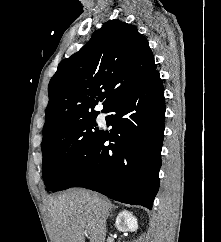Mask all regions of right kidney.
<instances>
[{
    "instance_id": "ca27d5eb",
    "label": "right kidney",
    "mask_w": 221,
    "mask_h": 242,
    "mask_svg": "<svg viewBox=\"0 0 221 242\" xmlns=\"http://www.w3.org/2000/svg\"><path fill=\"white\" fill-rule=\"evenodd\" d=\"M115 226L122 232H134L138 229L137 219L131 212L124 210L120 212L116 218Z\"/></svg>"
}]
</instances>
